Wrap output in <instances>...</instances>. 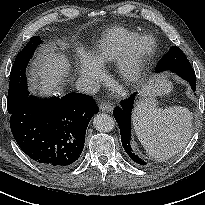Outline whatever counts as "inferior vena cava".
Instances as JSON below:
<instances>
[{
  "label": "inferior vena cava",
  "mask_w": 205,
  "mask_h": 205,
  "mask_svg": "<svg viewBox=\"0 0 205 205\" xmlns=\"http://www.w3.org/2000/svg\"><path fill=\"white\" fill-rule=\"evenodd\" d=\"M76 89L82 93L94 94L99 90V85L94 80L82 78L76 81Z\"/></svg>",
  "instance_id": "obj_1"
}]
</instances>
